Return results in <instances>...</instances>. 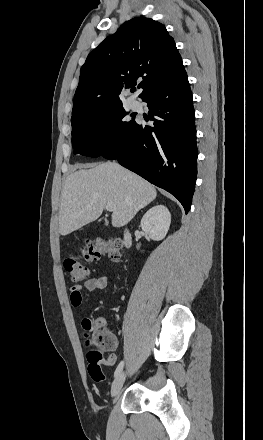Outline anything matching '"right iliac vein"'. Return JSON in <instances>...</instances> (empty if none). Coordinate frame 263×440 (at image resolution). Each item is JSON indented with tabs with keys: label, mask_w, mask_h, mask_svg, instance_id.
<instances>
[{
	"label": "right iliac vein",
	"mask_w": 263,
	"mask_h": 440,
	"mask_svg": "<svg viewBox=\"0 0 263 440\" xmlns=\"http://www.w3.org/2000/svg\"><path fill=\"white\" fill-rule=\"evenodd\" d=\"M125 377H126L125 372L121 371L118 374V376L115 378V380L113 381L112 387H111V397L112 398L116 397L119 394V392L124 384Z\"/></svg>",
	"instance_id": "obj_1"
}]
</instances>
